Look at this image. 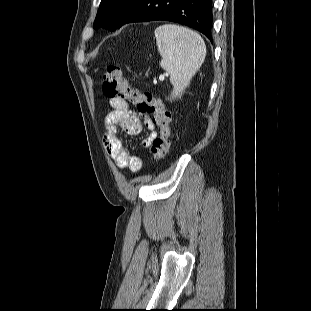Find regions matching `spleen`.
<instances>
[{"label": "spleen", "instance_id": "3e777b00", "mask_svg": "<svg viewBox=\"0 0 311 311\" xmlns=\"http://www.w3.org/2000/svg\"><path fill=\"white\" fill-rule=\"evenodd\" d=\"M156 44L162 57L160 66L170 75V100L182 95L206 56L202 37L183 26L165 24L155 29Z\"/></svg>", "mask_w": 311, "mask_h": 311}]
</instances>
